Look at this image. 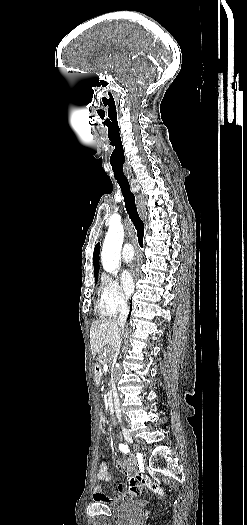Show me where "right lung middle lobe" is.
Segmentation results:
<instances>
[{
  "label": "right lung middle lobe",
  "instance_id": "right-lung-middle-lobe-1",
  "mask_svg": "<svg viewBox=\"0 0 247 525\" xmlns=\"http://www.w3.org/2000/svg\"><path fill=\"white\" fill-rule=\"evenodd\" d=\"M98 276H95V282L97 281Z\"/></svg>",
  "mask_w": 247,
  "mask_h": 525
}]
</instances>
